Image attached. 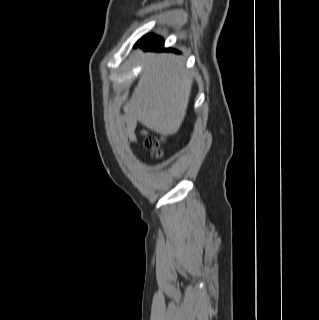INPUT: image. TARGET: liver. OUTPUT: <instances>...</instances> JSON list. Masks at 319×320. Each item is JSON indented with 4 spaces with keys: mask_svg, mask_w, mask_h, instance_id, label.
Here are the masks:
<instances>
[{
    "mask_svg": "<svg viewBox=\"0 0 319 320\" xmlns=\"http://www.w3.org/2000/svg\"><path fill=\"white\" fill-rule=\"evenodd\" d=\"M142 63L138 84L123 109L151 131L173 135L185 118L193 78L173 54L146 53Z\"/></svg>",
    "mask_w": 319,
    "mask_h": 320,
    "instance_id": "6515ba94",
    "label": "liver"
}]
</instances>
